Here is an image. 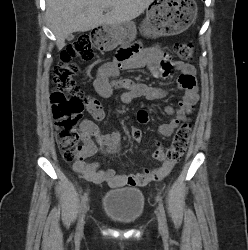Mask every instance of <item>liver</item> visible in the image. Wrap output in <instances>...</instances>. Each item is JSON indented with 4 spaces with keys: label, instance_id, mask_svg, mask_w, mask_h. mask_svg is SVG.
<instances>
[{
    "label": "liver",
    "instance_id": "obj_1",
    "mask_svg": "<svg viewBox=\"0 0 248 250\" xmlns=\"http://www.w3.org/2000/svg\"><path fill=\"white\" fill-rule=\"evenodd\" d=\"M154 0H46V18L56 37L58 50L73 32H86L101 25L129 22ZM110 10L106 15L103 11Z\"/></svg>",
    "mask_w": 248,
    "mask_h": 250
}]
</instances>
